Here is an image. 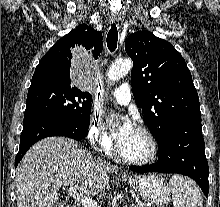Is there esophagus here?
Masks as SVG:
<instances>
[{
  "label": "esophagus",
  "mask_w": 220,
  "mask_h": 207,
  "mask_svg": "<svg viewBox=\"0 0 220 207\" xmlns=\"http://www.w3.org/2000/svg\"><path fill=\"white\" fill-rule=\"evenodd\" d=\"M110 21H111V22H117V21H119V16L116 15V14H111V15H110Z\"/></svg>",
  "instance_id": "1"
}]
</instances>
